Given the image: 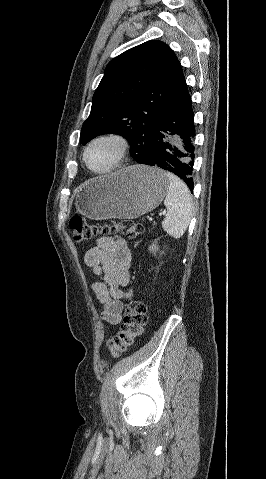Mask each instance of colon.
<instances>
[{
    "label": "colon",
    "mask_w": 266,
    "mask_h": 479,
    "mask_svg": "<svg viewBox=\"0 0 266 479\" xmlns=\"http://www.w3.org/2000/svg\"><path fill=\"white\" fill-rule=\"evenodd\" d=\"M72 239L78 244L91 240L98 233L120 232L130 239H136L143 233V225L130 219L95 225L80 216L69 221ZM147 323V307L143 302H134L127 306L120 331L107 341L112 356H120L132 348L144 332Z\"/></svg>",
    "instance_id": "colon-1"
}]
</instances>
